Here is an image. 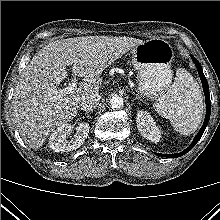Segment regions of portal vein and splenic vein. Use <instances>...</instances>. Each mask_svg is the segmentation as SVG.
I'll list each match as a JSON object with an SVG mask.
<instances>
[{
  "instance_id": "portal-vein-and-splenic-vein-1",
  "label": "portal vein and splenic vein",
  "mask_w": 220,
  "mask_h": 220,
  "mask_svg": "<svg viewBox=\"0 0 220 220\" xmlns=\"http://www.w3.org/2000/svg\"><path fill=\"white\" fill-rule=\"evenodd\" d=\"M76 89H77V83L75 82V80H72L68 83L67 87L55 92L56 99L61 100L64 96L73 93Z\"/></svg>"
}]
</instances>
